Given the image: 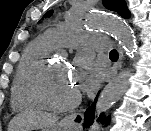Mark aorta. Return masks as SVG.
Listing matches in <instances>:
<instances>
[{
  "label": "aorta",
  "mask_w": 151,
  "mask_h": 131,
  "mask_svg": "<svg viewBox=\"0 0 151 131\" xmlns=\"http://www.w3.org/2000/svg\"><path fill=\"white\" fill-rule=\"evenodd\" d=\"M88 27L104 30L118 38L126 54L136 59V43L133 33L129 26L120 18L110 15H88L84 22ZM131 69L127 68L122 71L112 82L108 83L103 89L96 104L95 120L90 127V131H99L100 125L97 118L102 112L107 111L119 100L129 87V77Z\"/></svg>",
  "instance_id": "1"
}]
</instances>
